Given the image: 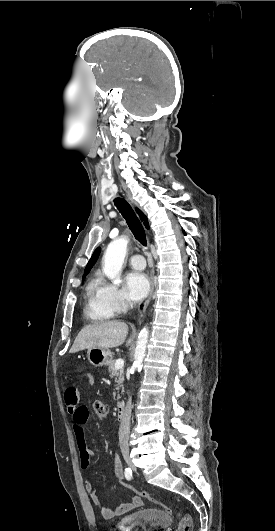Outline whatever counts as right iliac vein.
I'll return each instance as SVG.
<instances>
[{
  "label": "right iliac vein",
  "instance_id": "right-iliac-vein-1",
  "mask_svg": "<svg viewBox=\"0 0 275 531\" xmlns=\"http://www.w3.org/2000/svg\"><path fill=\"white\" fill-rule=\"evenodd\" d=\"M123 456H124V460L126 461L127 465H128L131 469L135 470V467H134V465H133V463H132V461H131L130 456H129L127 453H124Z\"/></svg>",
  "mask_w": 275,
  "mask_h": 531
}]
</instances>
